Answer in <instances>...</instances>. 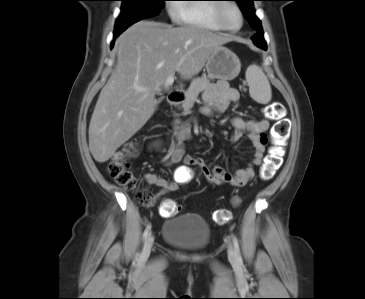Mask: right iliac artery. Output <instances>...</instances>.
<instances>
[{
  "instance_id": "right-iliac-artery-1",
  "label": "right iliac artery",
  "mask_w": 365,
  "mask_h": 299,
  "mask_svg": "<svg viewBox=\"0 0 365 299\" xmlns=\"http://www.w3.org/2000/svg\"><path fill=\"white\" fill-rule=\"evenodd\" d=\"M150 225L147 226V228L145 229L144 233H143V241L148 237V235L150 234Z\"/></svg>"
}]
</instances>
